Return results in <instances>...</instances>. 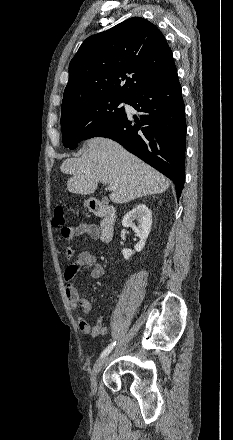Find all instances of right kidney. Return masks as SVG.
Masks as SVG:
<instances>
[{"label": "right kidney", "mask_w": 233, "mask_h": 440, "mask_svg": "<svg viewBox=\"0 0 233 440\" xmlns=\"http://www.w3.org/2000/svg\"><path fill=\"white\" fill-rule=\"evenodd\" d=\"M137 220L138 226L133 221ZM124 227H130L135 232V235L139 237L140 241L134 246L135 250L123 249L122 254L126 260H128L135 252H140L144 246L146 239L152 226V213L151 210L145 204H139L131 211H129L122 220Z\"/></svg>", "instance_id": "ca27d5eb"}]
</instances>
